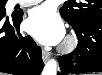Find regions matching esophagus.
<instances>
[{"instance_id":"esophagus-1","label":"esophagus","mask_w":102,"mask_h":75,"mask_svg":"<svg viewBox=\"0 0 102 75\" xmlns=\"http://www.w3.org/2000/svg\"><path fill=\"white\" fill-rule=\"evenodd\" d=\"M50 57V53L48 51L43 50L42 51V59L44 62H46Z\"/></svg>"}]
</instances>
